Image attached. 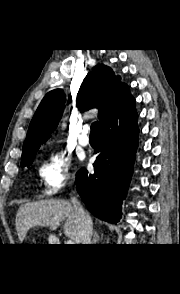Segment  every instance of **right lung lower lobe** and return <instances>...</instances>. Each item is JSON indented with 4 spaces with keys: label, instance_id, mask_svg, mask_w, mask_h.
Returning <instances> with one entry per match:
<instances>
[{
    "label": "right lung lower lobe",
    "instance_id": "right-lung-lower-lobe-1",
    "mask_svg": "<svg viewBox=\"0 0 180 294\" xmlns=\"http://www.w3.org/2000/svg\"><path fill=\"white\" fill-rule=\"evenodd\" d=\"M138 114L135 99L107 117L99 129L94 174L81 168L76 184L88 210L97 218L116 223L126 197L138 147Z\"/></svg>",
    "mask_w": 180,
    "mask_h": 294
}]
</instances>
